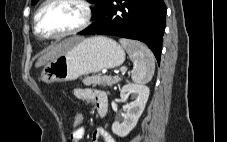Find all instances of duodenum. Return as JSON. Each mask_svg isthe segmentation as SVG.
<instances>
[{"instance_id": "obj_1", "label": "duodenum", "mask_w": 227, "mask_h": 142, "mask_svg": "<svg viewBox=\"0 0 227 142\" xmlns=\"http://www.w3.org/2000/svg\"><path fill=\"white\" fill-rule=\"evenodd\" d=\"M107 113V103H104L102 104V106L100 107V110H99V115L101 117H104Z\"/></svg>"}]
</instances>
